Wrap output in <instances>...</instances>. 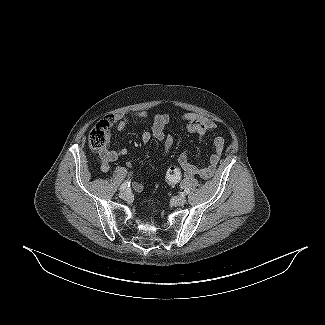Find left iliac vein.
Returning <instances> with one entry per match:
<instances>
[{
	"label": "left iliac vein",
	"mask_w": 325,
	"mask_h": 325,
	"mask_svg": "<svg viewBox=\"0 0 325 325\" xmlns=\"http://www.w3.org/2000/svg\"><path fill=\"white\" fill-rule=\"evenodd\" d=\"M174 205L183 206L186 203V198L184 196H175L172 199Z\"/></svg>",
	"instance_id": "left-iliac-vein-1"
}]
</instances>
